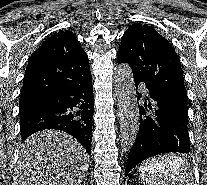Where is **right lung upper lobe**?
<instances>
[{
	"label": "right lung upper lobe",
	"mask_w": 207,
	"mask_h": 185,
	"mask_svg": "<svg viewBox=\"0 0 207 185\" xmlns=\"http://www.w3.org/2000/svg\"><path fill=\"white\" fill-rule=\"evenodd\" d=\"M91 75L87 54L76 36L60 30L30 57L24 76L19 109L53 96L72 82Z\"/></svg>",
	"instance_id": "1"
}]
</instances>
